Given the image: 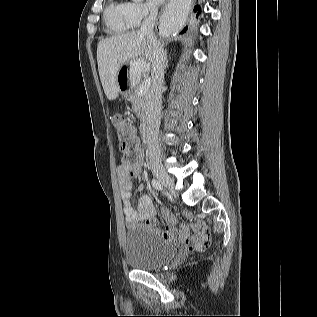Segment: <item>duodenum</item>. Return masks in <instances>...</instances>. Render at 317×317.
<instances>
[{
    "label": "duodenum",
    "instance_id": "1",
    "mask_svg": "<svg viewBox=\"0 0 317 317\" xmlns=\"http://www.w3.org/2000/svg\"><path fill=\"white\" fill-rule=\"evenodd\" d=\"M141 133H142V137H143L144 141H145L146 143H148L149 140H150V130H149V126H148L147 123H144V124L142 125Z\"/></svg>",
    "mask_w": 317,
    "mask_h": 317
}]
</instances>
